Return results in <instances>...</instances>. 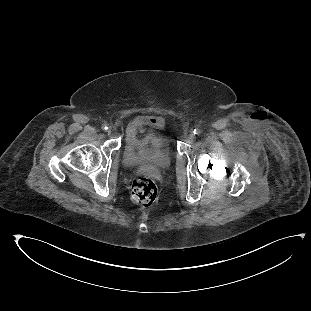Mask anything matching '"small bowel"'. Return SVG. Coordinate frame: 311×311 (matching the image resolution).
Wrapping results in <instances>:
<instances>
[{
	"label": "small bowel",
	"instance_id": "obj_1",
	"mask_svg": "<svg viewBox=\"0 0 311 311\" xmlns=\"http://www.w3.org/2000/svg\"><path fill=\"white\" fill-rule=\"evenodd\" d=\"M138 122H139L140 124L155 123V122H156V119H154V118H149V117H146V116H141V117L138 119Z\"/></svg>",
	"mask_w": 311,
	"mask_h": 311
}]
</instances>
